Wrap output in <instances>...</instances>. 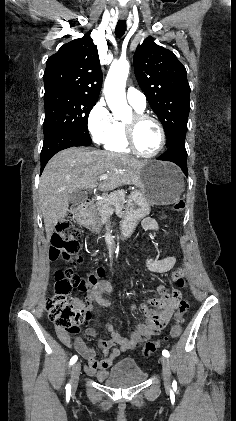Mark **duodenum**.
<instances>
[{
  "label": "duodenum",
  "mask_w": 236,
  "mask_h": 421,
  "mask_svg": "<svg viewBox=\"0 0 236 421\" xmlns=\"http://www.w3.org/2000/svg\"><path fill=\"white\" fill-rule=\"evenodd\" d=\"M92 208L93 201L90 199H85L77 203L74 209L76 220L84 226H92ZM157 302L161 305V315L166 317L170 314L171 307L175 301L174 298H170L165 292H160V298L157 299ZM155 321L156 320L151 319L148 325L139 326L134 336L130 340L122 339L119 334L114 331L112 327H110L109 331L111 332L112 338L108 343L111 345L120 344V349L125 350L127 347H131L137 341V335L147 336L153 333L156 330Z\"/></svg>",
  "instance_id": "duodenum-1"
}]
</instances>
